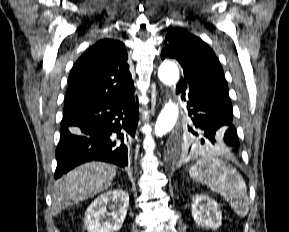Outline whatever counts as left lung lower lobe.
Instances as JSON below:
<instances>
[{
    "instance_id": "0a47b994",
    "label": "left lung lower lobe",
    "mask_w": 289,
    "mask_h": 232,
    "mask_svg": "<svg viewBox=\"0 0 289 232\" xmlns=\"http://www.w3.org/2000/svg\"><path fill=\"white\" fill-rule=\"evenodd\" d=\"M177 92H182V99L187 100L188 113L193 121L188 129L195 136L196 143L205 147V151L201 152H217L237 157L239 140L232 123L233 112L229 96L205 86L182 81L177 85Z\"/></svg>"
}]
</instances>
